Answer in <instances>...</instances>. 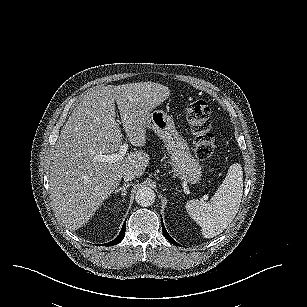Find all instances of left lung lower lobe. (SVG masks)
<instances>
[{
    "instance_id": "0a47b994",
    "label": "left lung lower lobe",
    "mask_w": 307,
    "mask_h": 307,
    "mask_svg": "<svg viewBox=\"0 0 307 307\" xmlns=\"http://www.w3.org/2000/svg\"><path fill=\"white\" fill-rule=\"evenodd\" d=\"M162 230H163V234L165 236V238L171 242L172 244H174L175 246H180L176 241H174L171 236L168 234V232L166 231L165 227H164V224H163V221H162Z\"/></svg>"
}]
</instances>
